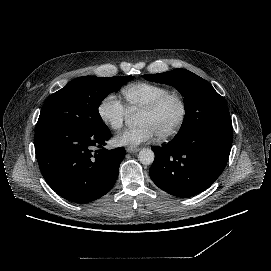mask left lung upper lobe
Returning a JSON list of instances; mask_svg holds the SVG:
<instances>
[{
  "label": "left lung upper lobe",
  "instance_id": "obj_1",
  "mask_svg": "<svg viewBox=\"0 0 271 271\" xmlns=\"http://www.w3.org/2000/svg\"><path fill=\"white\" fill-rule=\"evenodd\" d=\"M146 80L176 87L184 96L185 118L179 132L208 123L232 124L227 105L209 82L186 69L143 75Z\"/></svg>",
  "mask_w": 271,
  "mask_h": 271
}]
</instances>
